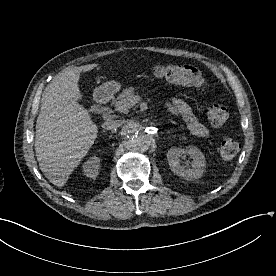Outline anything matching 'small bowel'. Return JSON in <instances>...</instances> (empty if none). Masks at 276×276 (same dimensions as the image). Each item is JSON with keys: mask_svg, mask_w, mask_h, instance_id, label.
Instances as JSON below:
<instances>
[{"mask_svg": "<svg viewBox=\"0 0 276 276\" xmlns=\"http://www.w3.org/2000/svg\"><path fill=\"white\" fill-rule=\"evenodd\" d=\"M168 108L173 114L183 119L192 134L201 137L209 134L208 128L198 120L190 106L184 100L172 98L168 102Z\"/></svg>", "mask_w": 276, "mask_h": 276, "instance_id": "small-bowel-1", "label": "small bowel"}]
</instances>
